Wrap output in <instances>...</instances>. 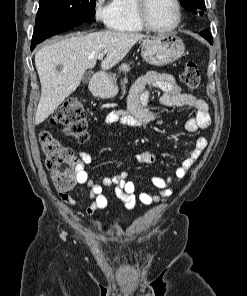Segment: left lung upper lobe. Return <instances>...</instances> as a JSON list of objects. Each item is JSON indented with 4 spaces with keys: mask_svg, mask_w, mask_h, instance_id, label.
Here are the masks:
<instances>
[{
    "mask_svg": "<svg viewBox=\"0 0 247 296\" xmlns=\"http://www.w3.org/2000/svg\"><path fill=\"white\" fill-rule=\"evenodd\" d=\"M180 2L187 11L192 12L194 15L201 17L204 14V0H180Z\"/></svg>",
    "mask_w": 247,
    "mask_h": 296,
    "instance_id": "1",
    "label": "left lung upper lobe"
}]
</instances>
